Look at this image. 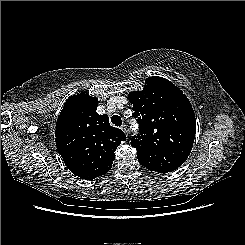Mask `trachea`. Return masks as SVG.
<instances>
[{
  "label": "trachea",
  "instance_id": "obj_1",
  "mask_svg": "<svg viewBox=\"0 0 245 245\" xmlns=\"http://www.w3.org/2000/svg\"><path fill=\"white\" fill-rule=\"evenodd\" d=\"M111 122H112L115 126H121V124H122L121 117L118 116V115L112 116Z\"/></svg>",
  "mask_w": 245,
  "mask_h": 245
}]
</instances>
